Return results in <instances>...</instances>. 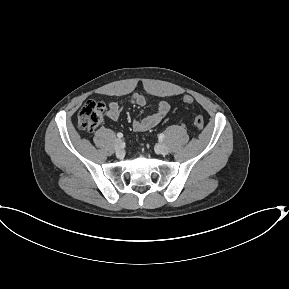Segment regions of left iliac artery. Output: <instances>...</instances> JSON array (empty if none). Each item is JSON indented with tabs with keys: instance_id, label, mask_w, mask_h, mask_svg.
<instances>
[{
	"instance_id": "1",
	"label": "left iliac artery",
	"mask_w": 289,
	"mask_h": 289,
	"mask_svg": "<svg viewBox=\"0 0 289 289\" xmlns=\"http://www.w3.org/2000/svg\"><path fill=\"white\" fill-rule=\"evenodd\" d=\"M158 137H159L160 140H162V139H164L165 135L161 133V134H159Z\"/></svg>"
}]
</instances>
